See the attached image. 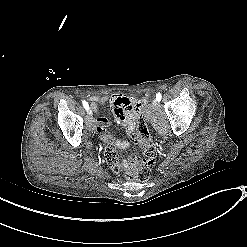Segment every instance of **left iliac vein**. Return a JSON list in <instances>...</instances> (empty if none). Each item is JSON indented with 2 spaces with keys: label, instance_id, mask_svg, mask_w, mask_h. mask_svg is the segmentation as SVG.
I'll return each instance as SVG.
<instances>
[{
  "label": "left iliac vein",
  "instance_id": "left-iliac-vein-1",
  "mask_svg": "<svg viewBox=\"0 0 247 247\" xmlns=\"http://www.w3.org/2000/svg\"><path fill=\"white\" fill-rule=\"evenodd\" d=\"M153 105H154L155 107H158V106H159V101H158L157 99H155V100L153 101Z\"/></svg>",
  "mask_w": 247,
  "mask_h": 247
}]
</instances>
